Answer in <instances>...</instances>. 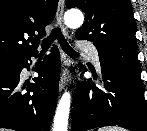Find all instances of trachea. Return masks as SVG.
<instances>
[{
	"label": "trachea",
	"instance_id": "3493384b",
	"mask_svg": "<svg viewBox=\"0 0 147 131\" xmlns=\"http://www.w3.org/2000/svg\"><path fill=\"white\" fill-rule=\"evenodd\" d=\"M55 39L58 40L64 52L67 53L69 56L72 57L78 56V53L75 50H73V48L68 44L67 40L62 35L59 27H56L52 31L51 35L48 38L44 39L42 43L41 53H45L48 50L50 43Z\"/></svg>",
	"mask_w": 147,
	"mask_h": 131
}]
</instances>
